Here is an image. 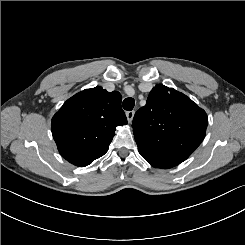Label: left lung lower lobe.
<instances>
[{
	"label": "left lung lower lobe",
	"instance_id": "1",
	"mask_svg": "<svg viewBox=\"0 0 245 245\" xmlns=\"http://www.w3.org/2000/svg\"><path fill=\"white\" fill-rule=\"evenodd\" d=\"M146 160L153 167L162 168V169H169V168L177 166L178 164L183 162L180 159H178L172 155H168V154H157V155H154L153 157H150Z\"/></svg>",
	"mask_w": 245,
	"mask_h": 245
}]
</instances>
